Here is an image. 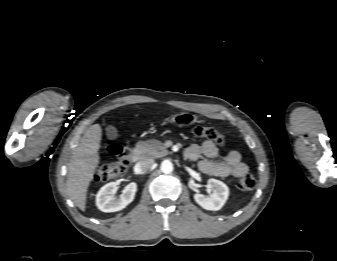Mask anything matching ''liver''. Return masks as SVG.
I'll use <instances>...</instances> for the list:
<instances>
[{
    "label": "liver",
    "instance_id": "liver-1",
    "mask_svg": "<svg viewBox=\"0 0 337 261\" xmlns=\"http://www.w3.org/2000/svg\"><path fill=\"white\" fill-rule=\"evenodd\" d=\"M102 128L94 124L84 133L74 149L68 166L67 193L82 211L86 209L87 191L100 162Z\"/></svg>",
    "mask_w": 337,
    "mask_h": 261
}]
</instances>
